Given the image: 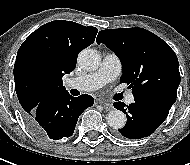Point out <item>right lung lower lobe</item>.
Returning a JSON list of instances; mask_svg holds the SVG:
<instances>
[{
	"label": "right lung lower lobe",
	"instance_id": "98d812e1",
	"mask_svg": "<svg viewBox=\"0 0 190 165\" xmlns=\"http://www.w3.org/2000/svg\"><path fill=\"white\" fill-rule=\"evenodd\" d=\"M94 103L90 95L71 96L66 89L46 95L29 112H22L29 129L43 139L59 140L70 137L78 117Z\"/></svg>",
	"mask_w": 190,
	"mask_h": 165
}]
</instances>
